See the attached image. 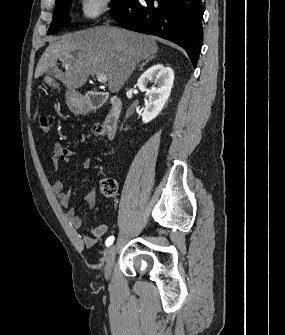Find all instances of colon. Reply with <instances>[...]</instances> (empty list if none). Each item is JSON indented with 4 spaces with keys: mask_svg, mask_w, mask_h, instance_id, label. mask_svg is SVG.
<instances>
[{
    "mask_svg": "<svg viewBox=\"0 0 285 335\" xmlns=\"http://www.w3.org/2000/svg\"><path fill=\"white\" fill-rule=\"evenodd\" d=\"M39 125L42 133L47 134L50 130V122L46 115H41L39 118ZM95 132L98 135L103 134V127L101 125H96L94 127ZM101 191L106 196H114L117 192V183L115 180L106 178L101 182Z\"/></svg>",
    "mask_w": 285,
    "mask_h": 335,
    "instance_id": "1",
    "label": "colon"
}]
</instances>
